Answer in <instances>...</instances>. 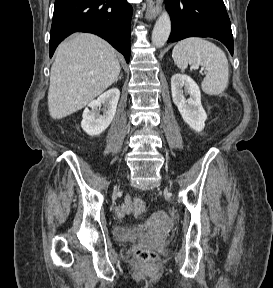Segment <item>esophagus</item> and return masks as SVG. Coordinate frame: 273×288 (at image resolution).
<instances>
[{
  "mask_svg": "<svg viewBox=\"0 0 273 288\" xmlns=\"http://www.w3.org/2000/svg\"><path fill=\"white\" fill-rule=\"evenodd\" d=\"M161 11V0H147L146 17L151 20L157 17Z\"/></svg>",
  "mask_w": 273,
  "mask_h": 288,
  "instance_id": "1",
  "label": "esophagus"
}]
</instances>
